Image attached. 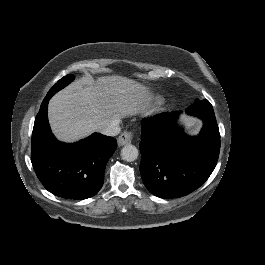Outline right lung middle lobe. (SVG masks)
Returning a JSON list of instances; mask_svg holds the SVG:
<instances>
[{
    "label": "right lung middle lobe",
    "instance_id": "obj_1",
    "mask_svg": "<svg viewBox=\"0 0 265 265\" xmlns=\"http://www.w3.org/2000/svg\"><path fill=\"white\" fill-rule=\"evenodd\" d=\"M75 78L74 75H66L62 79H60L47 93L45 98L50 99L55 93H57L59 90L64 88L66 85H68L71 81H73Z\"/></svg>",
    "mask_w": 265,
    "mask_h": 265
}]
</instances>
